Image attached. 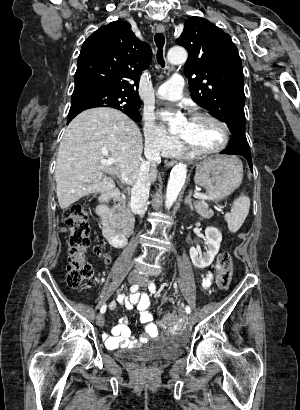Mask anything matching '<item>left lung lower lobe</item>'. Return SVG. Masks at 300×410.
Here are the masks:
<instances>
[{
  "label": "left lung lower lobe",
  "instance_id": "left-lung-lower-lobe-1",
  "mask_svg": "<svg viewBox=\"0 0 300 410\" xmlns=\"http://www.w3.org/2000/svg\"><path fill=\"white\" fill-rule=\"evenodd\" d=\"M220 153L230 155H242L247 159L249 166L252 169L250 148L246 137L240 135H233L229 141V146Z\"/></svg>",
  "mask_w": 300,
  "mask_h": 410
}]
</instances>
